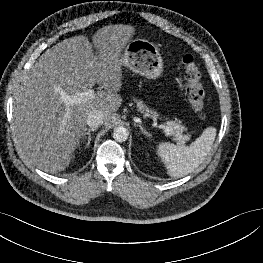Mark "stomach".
<instances>
[{
    "label": "stomach",
    "instance_id": "0dacf381",
    "mask_svg": "<svg viewBox=\"0 0 263 263\" xmlns=\"http://www.w3.org/2000/svg\"><path fill=\"white\" fill-rule=\"evenodd\" d=\"M123 65L148 79H157L163 72V60L155 44L145 39L130 40L121 56Z\"/></svg>",
    "mask_w": 263,
    "mask_h": 263
}]
</instances>
